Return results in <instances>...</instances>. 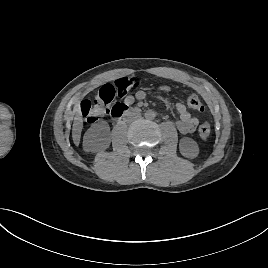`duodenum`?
Returning <instances> with one entry per match:
<instances>
[{
	"instance_id": "410a0bca",
	"label": "duodenum",
	"mask_w": 268,
	"mask_h": 268,
	"mask_svg": "<svg viewBox=\"0 0 268 268\" xmlns=\"http://www.w3.org/2000/svg\"><path fill=\"white\" fill-rule=\"evenodd\" d=\"M139 111V108L136 107H131L130 105L127 104H117L114 105L111 109H110V116L114 119H120L123 116L129 114V113H136Z\"/></svg>"
}]
</instances>
